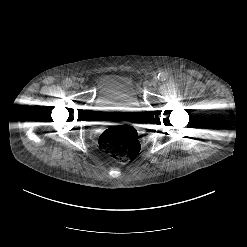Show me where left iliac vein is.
<instances>
[{"mask_svg":"<svg viewBox=\"0 0 247 247\" xmlns=\"http://www.w3.org/2000/svg\"><path fill=\"white\" fill-rule=\"evenodd\" d=\"M157 82H158V80L156 78L152 79L150 82V86H156Z\"/></svg>","mask_w":247,"mask_h":247,"instance_id":"left-iliac-vein-1","label":"left iliac vein"}]
</instances>
